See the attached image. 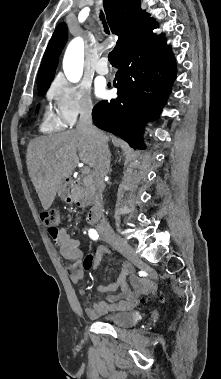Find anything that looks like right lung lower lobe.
Wrapping results in <instances>:
<instances>
[{"instance_id": "1", "label": "right lung lower lobe", "mask_w": 221, "mask_h": 379, "mask_svg": "<svg viewBox=\"0 0 221 379\" xmlns=\"http://www.w3.org/2000/svg\"><path fill=\"white\" fill-rule=\"evenodd\" d=\"M156 27L118 54V97L99 102L92 111L97 127L119 135L135 149H145L144 125L158 117L176 76L171 48L163 35L152 32Z\"/></svg>"}]
</instances>
